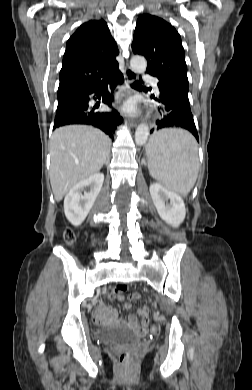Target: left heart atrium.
<instances>
[{
	"mask_svg": "<svg viewBox=\"0 0 252 390\" xmlns=\"http://www.w3.org/2000/svg\"><path fill=\"white\" fill-rule=\"evenodd\" d=\"M124 109L128 112H131L134 110V103L132 101H129L125 104Z\"/></svg>",
	"mask_w": 252,
	"mask_h": 390,
	"instance_id": "1",
	"label": "left heart atrium"
}]
</instances>
